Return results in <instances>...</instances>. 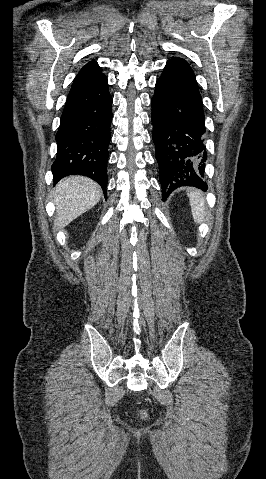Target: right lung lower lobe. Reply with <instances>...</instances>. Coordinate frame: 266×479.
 Masks as SVG:
<instances>
[{
    "mask_svg": "<svg viewBox=\"0 0 266 479\" xmlns=\"http://www.w3.org/2000/svg\"><path fill=\"white\" fill-rule=\"evenodd\" d=\"M112 97L106 76L74 80L56 134L54 183L71 174L100 184L106 196Z\"/></svg>",
    "mask_w": 266,
    "mask_h": 479,
    "instance_id": "1",
    "label": "right lung lower lobe"
}]
</instances>
